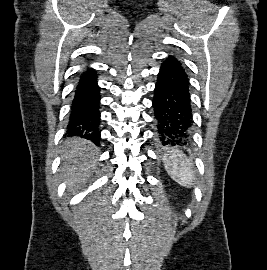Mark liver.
Listing matches in <instances>:
<instances>
[{
    "label": "liver",
    "instance_id": "6515ba94",
    "mask_svg": "<svg viewBox=\"0 0 267 270\" xmlns=\"http://www.w3.org/2000/svg\"><path fill=\"white\" fill-rule=\"evenodd\" d=\"M61 172L69 192L77 191L96 166L98 148L90 141L71 138L65 142Z\"/></svg>",
    "mask_w": 267,
    "mask_h": 270
}]
</instances>
